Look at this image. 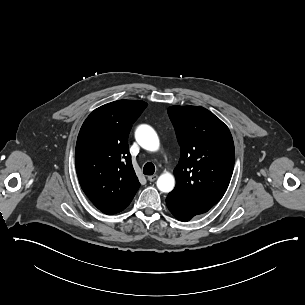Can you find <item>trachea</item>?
<instances>
[{"instance_id":"trachea-1","label":"trachea","mask_w":305,"mask_h":305,"mask_svg":"<svg viewBox=\"0 0 305 305\" xmlns=\"http://www.w3.org/2000/svg\"><path fill=\"white\" fill-rule=\"evenodd\" d=\"M154 172H155V166H154L153 163L148 162V163H146V164L144 165V167H143V173H144L145 175H153Z\"/></svg>"}]
</instances>
